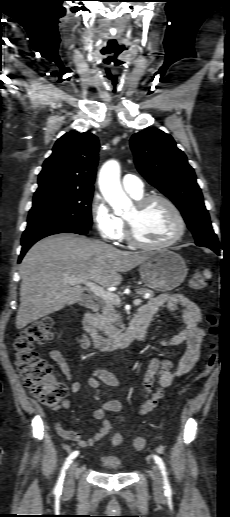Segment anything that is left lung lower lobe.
<instances>
[{"mask_svg":"<svg viewBox=\"0 0 230 517\" xmlns=\"http://www.w3.org/2000/svg\"><path fill=\"white\" fill-rule=\"evenodd\" d=\"M210 249H212L215 253L219 254V246L215 247V246H211V247H208Z\"/></svg>","mask_w":230,"mask_h":517,"instance_id":"0a47b994","label":"left lung lower lobe"}]
</instances>
